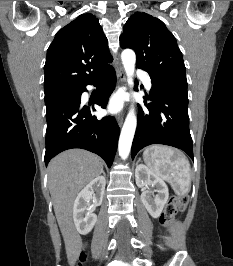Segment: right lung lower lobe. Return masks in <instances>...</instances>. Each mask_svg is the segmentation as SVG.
<instances>
[{"mask_svg":"<svg viewBox=\"0 0 233 266\" xmlns=\"http://www.w3.org/2000/svg\"><path fill=\"white\" fill-rule=\"evenodd\" d=\"M97 82H100V88L94 102L106 108L116 84L114 68L109 65L88 84ZM88 84L80 88L76 96L46 109V166L58 153L82 148L98 154L111 167L120 129L114 117L97 119L91 115L96 111L94 106L81 104V94L86 91Z\"/></svg>","mask_w":233,"mask_h":266,"instance_id":"98d812e1","label":"right lung lower lobe"}]
</instances>
